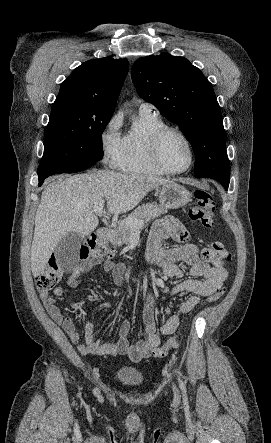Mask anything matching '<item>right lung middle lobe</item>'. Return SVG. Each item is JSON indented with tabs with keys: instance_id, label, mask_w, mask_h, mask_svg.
I'll use <instances>...</instances> for the list:
<instances>
[{
	"instance_id": "1",
	"label": "right lung middle lobe",
	"mask_w": 271,
	"mask_h": 443,
	"mask_svg": "<svg viewBox=\"0 0 271 443\" xmlns=\"http://www.w3.org/2000/svg\"><path fill=\"white\" fill-rule=\"evenodd\" d=\"M110 118L90 116L74 105H52L38 172L59 166H93L103 157L101 135Z\"/></svg>"
}]
</instances>
